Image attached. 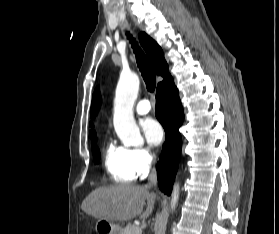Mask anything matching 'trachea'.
Wrapping results in <instances>:
<instances>
[{"mask_svg": "<svg viewBox=\"0 0 279 234\" xmlns=\"http://www.w3.org/2000/svg\"><path fill=\"white\" fill-rule=\"evenodd\" d=\"M128 37L130 38V41L132 42V47L136 54L137 64H138L139 70L141 72V75L145 81L146 88L149 92H153L156 87V76H155L154 70H153L149 60L147 59L146 55L134 42V39H132L131 36H128Z\"/></svg>", "mask_w": 279, "mask_h": 234, "instance_id": "1", "label": "trachea"}]
</instances>
